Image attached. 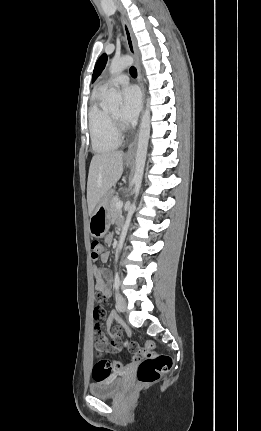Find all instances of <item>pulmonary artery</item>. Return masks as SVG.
Listing matches in <instances>:
<instances>
[{"instance_id": "e3ab8cb5", "label": "pulmonary artery", "mask_w": 261, "mask_h": 431, "mask_svg": "<svg viewBox=\"0 0 261 431\" xmlns=\"http://www.w3.org/2000/svg\"><path fill=\"white\" fill-rule=\"evenodd\" d=\"M129 82V77L126 74H119L116 75L113 78H110L108 80H106L101 88L102 89H107L110 85H127Z\"/></svg>"}]
</instances>
